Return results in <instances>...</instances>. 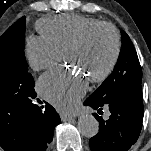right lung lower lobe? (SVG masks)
Instances as JSON below:
<instances>
[{
    "label": "right lung lower lobe",
    "mask_w": 151,
    "mask_h": 151,
    "mask_svg": "<svg viewBox=\"0 0 151 151\" xmlns=\"http://www.w3.org/2000/svg\"><path fill=\"white\" fill-rule=\"evenodd\" d=\"M29 101L31 105L30 135L25 151H46L53 139L54 128L60 123V117L50 104H47L45 111H42L38 105L32 104L31 99Z\"/></svg>",
    "instance_id": "98d812e1"
}]
</instances>
